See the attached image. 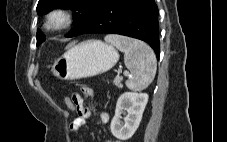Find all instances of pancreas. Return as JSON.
Listing matches in <instances>:
<instances>
[{"mask_svg":"<svg viewBox=\"0 0 227 142\" xmlns=\"http://www.w3.org/2000/svg\"><path fill=\"white\" fill-rule=\"evenodd\" d=\"M122 80H123V78L121 76H116L113 82L116 86H121Z\"/></svg>","mask_w":227,"mask_h":142,"instance_id":"obj_1","label":"pancreas"}]
</instances>
